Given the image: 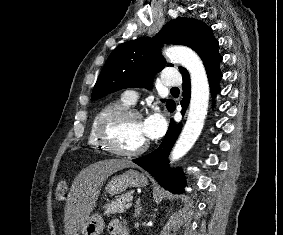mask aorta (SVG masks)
I'll return each mask as SVG.
<instances>
[{
    "label": "aorta",
    "instance_id": "1",
    "mask_svg": "<svg viewBox=\"0 0 283 235\" xmlns=\"http://www.w3.org/2000/svg\"><path fill=\"white\" fill-rule=\"evenodd\" d=\"M172 61L185 67L191 79V99L186 124L170 154L171 162L182 158L198 139L207 115L209 82L200 57L187 47L173 46L165 50Z\"/></svg>",
    "mask_w": 283,
    "mask_h": 235
}]
</instances>
